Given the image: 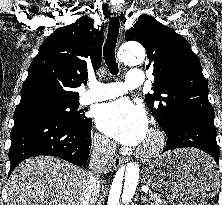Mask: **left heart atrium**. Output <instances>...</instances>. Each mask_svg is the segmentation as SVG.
Masks as SVG:
<instances>
[{
  "mask_svg": "<svg viewBox=\"0 0 222 205\" xmlns=\"http://www.w3.org/2000/svg\"><path fill=\"white\" fill-rule=\"evenodd\" d=\"M96 121L106 135L126 145L143 143L149 133L143 108L125 98L100 106Z\"/></svg>",
  "mask_w": 222,
  "mask_h": 205,
  "instance_id": "obj_1",
  "label": "left heart atrium"
}]
</instances>
